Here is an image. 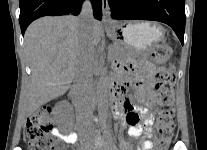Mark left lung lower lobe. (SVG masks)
Masks as SVG:
<instances>
[{
    "mask_svg": "<svg viewBox=\"0 0 207 150\" xmlns=\"http://www.w3.org/2000/svg\"><path fill=\"white\" fill-rule=\"evenodd\" d=\"M111 16L118 20H155L169 25L183 44L185 0H109Z\"/></svg>",
    "mask_w": 207,
    "mask_h": 150,
    "instance_id": "1",
    "label": "left lung lower lobe"
}]
</instances>
